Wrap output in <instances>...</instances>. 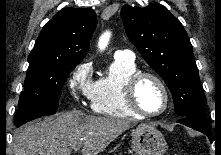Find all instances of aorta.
Wrapping results in <instances>:
<instances>
[{"label":"aorta","mask_w":221,"mask_h":155,"mask_svg":"<svg viewBox=\"0 0 221 155\" xmlns=\"http://www.w3.org/2000/svg\"><path fill=\"white\" fill-rule=\"evenodd\" d=\"M109 38H110L109 32H106L105 34L102 35V37L100 38V41H99V48L101 50H103L107 46Z\"/></svg>","instance_id":"aorta-1"}]
</instances>
